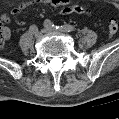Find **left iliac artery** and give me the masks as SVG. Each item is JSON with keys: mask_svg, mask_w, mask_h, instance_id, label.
Listing matches in <instances>:
<instances>
[{"mask_svg": "<svg viewBox=\"0 0 119 119\" xmlns=\"http://www.w3.org/2000/svg\"><path fill=\"white\" fill-rule=\"evenodd\" d=\"M45 27L53 28V29H58L61 31L65 32H73L75 28L72 25L65 24V25H55L51 20L46 19L44 22Z\"/></svg>", "mask_w": 119, "mask_h": 119, "instance_id": "44dca946", "label": "left iliac artery"}]
</instances>
